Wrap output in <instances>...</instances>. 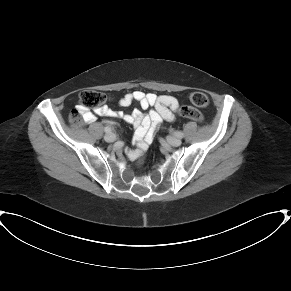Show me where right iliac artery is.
Masks as SVG:
<instances>
[{
	"mask_svg": "<svg viewBox=\"0 0 291 291\" xmlns=\"http://www.w3.org/2000/svg\"><path fill=\"white\" fill-rule=\"evenodd\" d=\"M104 131L106 132V133H111V128H109V127H105V129H104Z\"/></svg>",
	"mask_w": 291,
	"mask_h": 291,
	"instance_id": "82829eb1",
	"label": "right iliac artery"
}]
</instances>
